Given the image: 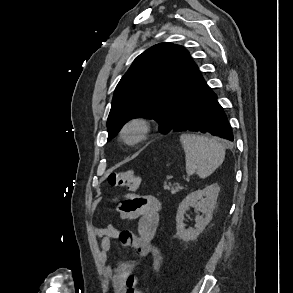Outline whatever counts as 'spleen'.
Segmentation results:
<instances>
[{
	"label": "spleen",
	"instance_id": "spleen-1",
	"mask_svg": "<svg viewBox=\"0 0 293 293\" xmlns=\"http://www.w3.org/2000/svg\"><path fill=\"white\" fill-rule=\"evenodd\" d=\"M180 142L185 151L186 173L195 172L201 178L210 176L224 161L225 146L214 138L182 134Z\"/></svg>",
	"mask_w": 293,
	"mask_h": 293
}]
</instances>
